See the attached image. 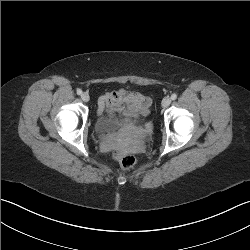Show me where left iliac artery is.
<instances>
[{
    "label": "left iliac artery",
    "instance_id": "44dca946",
    "mask_svg": "<svg viewBox=\"0 0 250 250\" xmlns=\"http://www.w3.org/2000/svg\"><path fill=\"white\" fill-rule=\"evenodd\" d=\"M176 98H177V95H176V94H172V95H171V99H172V100H175Z\"/></svg>",
    "mask_w": 250,
    "mask_h": 250
}]
</instances>
